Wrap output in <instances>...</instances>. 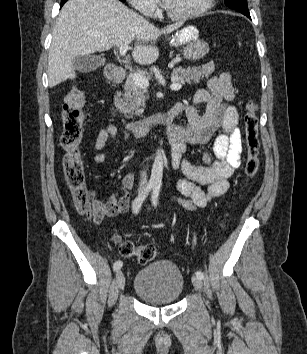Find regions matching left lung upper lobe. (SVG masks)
Instances as JSON below:
<instances>
[{"mask_svg":"<svg viewBox=\"0 0 307 354\" xmlns=\"http://www.w3.org/2000/svg\"><path fill=\"white\" fill-rule=\"evenodd\" d=\"M225 4L238 12L250 17V13L247 6V0H225Z\"/></svg>","mask_w":307,"mask_h":354,"instance_id":"left-lung-upper-lobe-1","label":"left lung upper lobe"}]
</instances>
